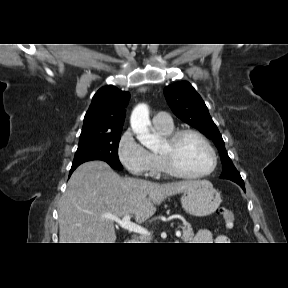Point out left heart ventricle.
Returning a JSON list of instances; mask_svg holds the SVG:
<instances>
[{
    "label": "left heart ventricle",
    "instance_id": "b2bd125f",
    "mask_svg": "<svg viewBox=\"0 0 288 288\" xmlns=\"http://www.w3.org/2000/svg\"><path fill=\"white\" fill-rule=\"evenodd\" d=\"M166 150L167 145L164 142L159 153H163ZM176 159L181 168L191 174L208 171L213 162L210 151L194 136H187L182 139L177 147Z\"/></svg>",
    "mask_w": 288,
    "mask_h": 288
}]
</instances>
